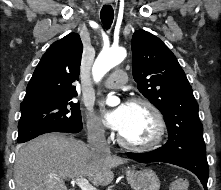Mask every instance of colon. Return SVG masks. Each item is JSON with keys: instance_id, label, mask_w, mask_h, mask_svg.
<instances>
[{"instance_id": "obj_1", "label": "colon", "mask_w": 221, "mask_h": 190, "mask_svg": "<svg viewBox=\"0 0 221 190\" xmlns=\"http://www.w3.org/2000/svg\"><path fill=\"white\" fill-rule=\"evenodd\" d=\"M188 185L189 183L187 179L179 178L171 183L169 190H187Z\"/></svg>"}]
</instances>
